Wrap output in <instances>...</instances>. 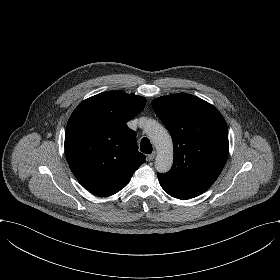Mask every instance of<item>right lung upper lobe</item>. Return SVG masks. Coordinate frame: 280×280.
Returning a JSON list of instances; mask_svg holds the SVG:
<instances>
[{
    "instance_id": "right-lung-upper-lobe-1",
    "label": "right lung upper lobe",
    "mask_w": 280,
    "mask_h": 280,
    "mask_svg": "<svg viewBox=\"0 0 280 280\" xmlns=\"http://www.w3.org/2000/svg\"><path fill=\"white\" fill-rule=\"evenodd\" d=\"M145 104L144 97L108 91L84 100L71 114L65 132L66 158L91 193H117L145 162L136 133L126 125Z\"/></svg>"
}]
</instances>
